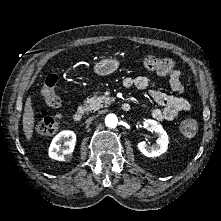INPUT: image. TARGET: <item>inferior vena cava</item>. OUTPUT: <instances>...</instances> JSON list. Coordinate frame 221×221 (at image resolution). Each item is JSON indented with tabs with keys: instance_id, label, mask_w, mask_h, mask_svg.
I'll list each match as a JSON object with an SVG mask.
<instances>
[{
	"instance_id": "1",
	"label": "inferior vena cava",
	"mask_w": 221,
	"mask_h": 221,
	"mask_svg": "<svg viewBox=\"0 0 221 221\" xmlns=\"http://www.w3.org/2000/svg\"><path fill=\"white\" fill-rule=\"evenodd\" d=\"M94 118H95V117H90V118H88L87 121H86V123H90L91 121L94 120Z\"/></svg>"
}]
</instances>
